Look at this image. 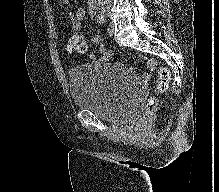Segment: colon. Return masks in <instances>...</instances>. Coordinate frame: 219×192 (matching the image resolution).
<instances>
[{"label":"colon","mask_w":219,"mask_h":192,"mask_svg":"<svg viewBox=\"0 0 219 192\" xmlns=\"http://www.w3.org/2000/svg\"><path fill=\"white\" fill-rule=\"evenodd\" d=\"M69 52H76L79 54L86 53L88 51L86 43L80 39L77 38L73 40L68 45ZM171 79L170 71L166 67H159L158 68V81L156 90L159 93L165 92L168 89L169 83ZM157 102L158 99L156 97H151L148 99L145 110L141 117L138 120V124L142 127H145L150 119L153 117V115L156 112L157 109Z\"/></svg>","instance_id":"obj_1"}]
</instances>
